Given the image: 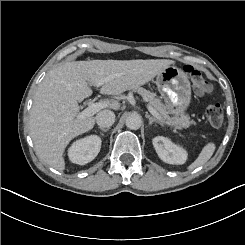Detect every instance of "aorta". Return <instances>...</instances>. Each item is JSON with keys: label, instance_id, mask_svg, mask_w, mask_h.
I'll return each mask as SVG.
<instances>
[{"label": "aorta", "instance_id": "762f6f07", "mask_svg": "<svg viewBox=\"0 0 245 245\" xmlns=\"http://www.w3.org/2000/svg\"><path fill=\"white\" fill-rule=\"evenodd\" d=\"M125 123L130 130H137L141 127V118L136 114H132L126 118Z\"/></svg>", "mask_w": 245, "mask_h": 245}]
</instances>
